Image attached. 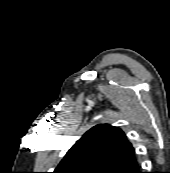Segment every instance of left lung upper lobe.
<instances>
[{
	"label": "left lung upper lobe",
	"mask_w": 170,
	"mask_h": 173,
	"mask_svg": "<svg viewBox=\"0 0 170 173\" xmlns=\"http://www.w3.org/2000/svg\"><path fill=\"white\" fill-rule=\"evenodd\" d=\"M135 160L124 132L99 124L76 141L53 173H118Z\"/></svg>",
	"instance_id": "5c2ea615"
}]
</instances>
